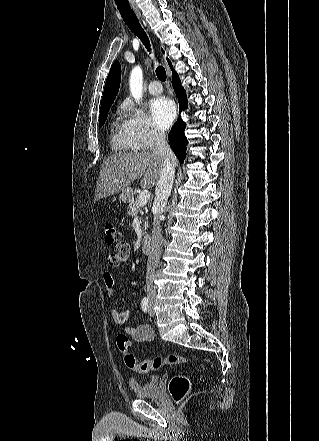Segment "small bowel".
Returning <instances> with one entry per match:
<instances>
[{"label": "small bowel", "mask_w": 319, "mask_h": 441, "mask_svg": "<svg viewBox=\"0 0 319 441\" xmlns=\"http://www.w3.org/2000/svg\"><path fill=\"white\" fill-rule=\"evenodd\" d=\"M130 255L129 245L126 243H120L116 250L109 254L108 264L111 267H119L123 262L127 261ZM103 280L106 287V292L109 297L114 295L115 280L111 272H105L103 274ZM127 311H119L117 309L111 310V317L115 324L123 325L127 319ZM125 333L132 337L136 342H151L154 338L152 328L147 325L139 326H127L124 329Z\"/></svg>", "instance_id": "1"}]
</instances>
